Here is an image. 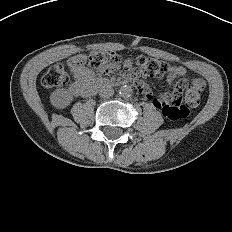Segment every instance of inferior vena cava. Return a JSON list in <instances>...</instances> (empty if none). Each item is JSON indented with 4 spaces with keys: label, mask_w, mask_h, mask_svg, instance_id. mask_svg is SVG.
I'll return each mask as SVG.
<instances>
[{
    "label": "inferior vena cava",
    "mask_w": 232,
    "mask_h": 232,
    "mask_svg": "<svg viewBox=\"0 0 232 232\" xmlns=\"http://www.w3.org/2000/svg\"><path fill=\"white\" fill-rule=\"evenodd\" d=\"M114 94V89L111 86H103L99 90V96L102 98H110Z\"/></svg>",
    "instance_id": "obj_1"
}]
</instances>
